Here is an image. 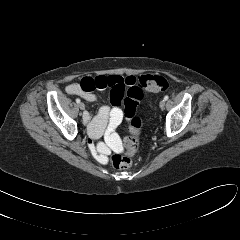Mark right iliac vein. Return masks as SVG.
I'll list each match as a JSON object with an SVG mask.
<instances>
[{
	"mask_svg": "<svg viewBox=\"0 0 240 240\" xmlns=\"http://www.w3.org/2000/svg\"><path fill=\"white\" fill-rule=\"evenodd\" d=\"M79 108L81 109V110H84L85 109V104L84 103H79Z\"/></svg>",
	"mask_w": 240,
	"mask_h": 240,
	"instance_id": "1",
	"label": "right iliac vein"
}]
</instances>
